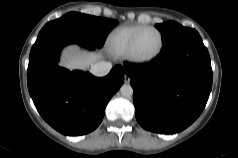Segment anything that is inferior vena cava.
<instances>
[{
  "label": "inferior vena cava",
  "instance_id": "inferior-vena-cava-1",
  "mask_svg": "<svg viewBox=\"0 0 238 158\" xmlns=\"http://www.w3.org/2000/svg\"><path fill=\"white\" fill-rule=\"evenodd\" d=\"M112 68V64L110 62H97L93 64L90 68V72L97 77L106 76Z\"/></svg>",
  "mask_w": 238,
  "mask_h": 158
}]
</instances>
